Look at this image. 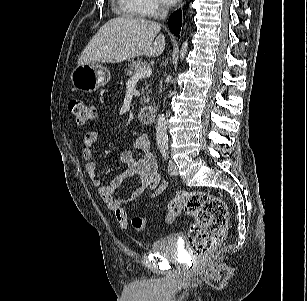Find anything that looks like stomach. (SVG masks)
<instances>
[{"instance_id": "obj_1", "label": "stomach", "mask_w": 307, "mask_h": 301, "mask_svg": "<svg viewBox=\"0 0 307 301\" xmlns=\"http://www.w3.org/2000/svg\"><path fill=\"white\" fill-rule=\"evenodd\" d=\"M110 78L109 69L94 63L78 65L71 73L74 88L87 93L106 85Z\"/></svg>"}]
</instances>
